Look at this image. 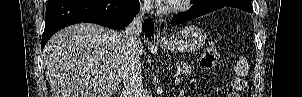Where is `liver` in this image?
Returning <instances> with one entry per match:
<instances>
[{
    "label": "liver",
    "instance_id": "6515ba94",
    "mask_svg": "<svg viewBox=\"0 0 302 97\" xmlns=\"http://www.w3.org/2000/svg\"><path fill=\"white\" fill-rule=\"evenodd\" d=\"M126 61L121 33L91 23L58 31L43 50L52 97H111Z\"/></svg>",
    "mask_w": 302,
    "mask_h": 97
}]
</instances>
